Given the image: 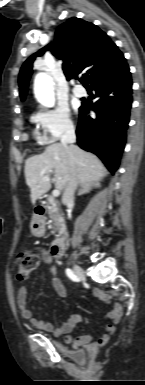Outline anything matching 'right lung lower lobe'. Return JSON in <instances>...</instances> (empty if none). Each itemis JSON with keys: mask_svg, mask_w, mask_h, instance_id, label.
<instances>
[{"mask_svg": "<svg viewBox=\"0 0 145 385\" xmlns=\"http://www.w3.org/2000/svg\"><path fill=\"white\" fill-rule=\"evenodd\" d=\"M87 89L95 91L97 100L90 106L83 103L79 109L78 145L96 154L111 172H115L124 149L132 105V79L128 65ZM90 108L96 112L95 119L88 114Z\"/></svg>", "mask_w": 145, "mask_h": 385, "instance_id": "right-lung-lower-lobe-1", "label": "right lung lower lobe"}]
</instances>
